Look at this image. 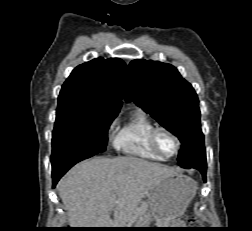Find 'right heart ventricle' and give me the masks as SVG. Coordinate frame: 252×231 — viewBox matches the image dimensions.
Listing matches in <instances>:
<instances>
[{
	"instance_id": "right-heart-ventricle-1",
	"label": "right heart ventricle",
	"mask_w": 252,
	"mask_h": 231,
	"mask_svg": "<svg viewBox=\"0 0 252 231\" xmlns=\"http://www.w3.org/2000/svg\"><path fill=\"white\" fill-rule=\"evenodd\" d=\"M157 127L143 111L137 110L119 128L114 138L116 149L123 154L145 160L162 161L150 146V134Z\"/></svg>"
}]
</instances>
